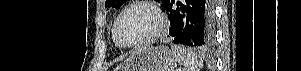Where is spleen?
<instances>
[{
    "mask_svg": "<svg viewBox=\"0 0 301 71\" xmlns=\"http://www.w3.org/2000/svg\"><path fill=\"white\" fill-rule=\"evenodd\" d=\"M171 51L183 66L182 71H200L203 63L197 53L178 46H172Z\"/></svg>",
    "mask_w": 301,
    "mask_h": 71,
    "instance_id": "1",
    "label": "spleen"
}]
</instances>
